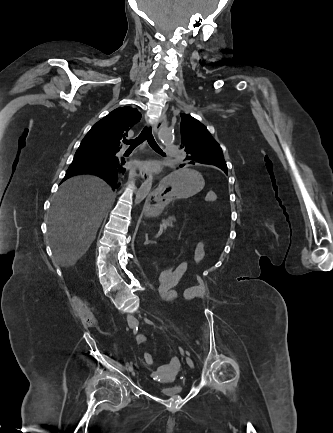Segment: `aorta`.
I'll return each mask as SVG.
<instances>
[{"label":"aorta","instance_id":"aorta-1","mask_svg":"<svg viewBox=\"0 0 333 433\" xmlns=\"http://www.w3.org/2000/svg\"><path fill=\"white\" fill-rule=\"evenodd\" d=\"M157 137L163 144H170L174 141V136L170 128H160ZM153 178L148 177L146 181L140 186L135 196V204H140L149 194L152 187Z\"/></svg>","mask_w":333,"mask_h":433}]
</instances>
